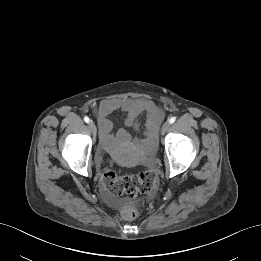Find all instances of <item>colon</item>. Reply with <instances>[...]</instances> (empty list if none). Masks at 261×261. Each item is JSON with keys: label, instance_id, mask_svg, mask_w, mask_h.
<instances>
[{"label": "colon", "instance_id": "obj_1", "mask_svg": "<svg viewBox=\"0 0 261 261\" xmlns=\"http://www.w3.org/2000/svg\"><path fill=\"white\" fill-rule=\"evenodd\" d=\"M101 181L108 193L114 196H136L140 193L152 192L157 184V174L150 163L148 168L137 175L119 176L111 168L110 163L104 165ZM121 217L133 220L137 217V208L133 202H127L121 208Z\"/></svg>", "mask_w": 261, "mask_h": 261}]
</instances>
